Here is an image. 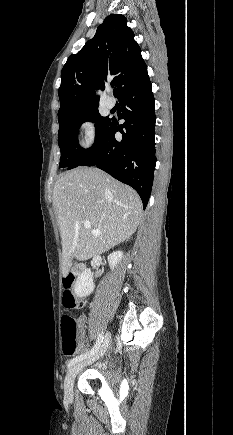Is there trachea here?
<instances>
[{
    "mask_svg": "<svg viewBox=\"0 0 233 435\" xmlns=\"http://www.w3.org/2000/svg\"><path fill=\"white\" fill-rule=\"evenodd\" d=\"M110 85H111V87L113 88V87H114V85H115V83H114V82H111V84H110Z\"/></svg>",
    "mask_w": 233,
    "mask_h": 435,
    "instance_id": "3493384b",
    "label": "trachea"
}]
</instances>
